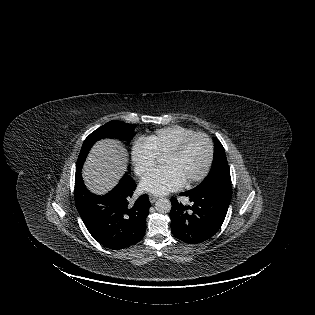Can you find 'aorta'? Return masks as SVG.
Returning a JSON list of instances; mask_svg holds the SVG:
<instances>
[{"mask_svg":"<svg viewBox=\"0 0 315 315\" xmlns=\"http://www.w3.org/2000/svg\"><path fill=\"white\" fill-rule=\"evenodd\" d=\"M171 202L170 200L166 199V198H161L158 199L155 203V209L159 212V213H169L171 210Z\"/></svg>","mask_w":315,"mask_h":315,"instance_id":"obj_1","label":"aorta"}]
</instances>
